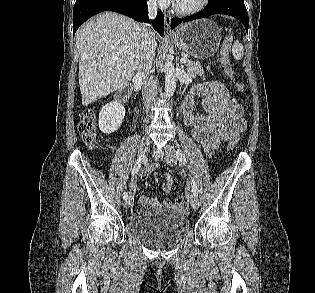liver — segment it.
<instances>
[{
	"instance_id": "obj_1",
	"label": "liver",
	"mask_w": 315,
	"mask_h": 293,
	"mask_svg": "<svg viewBox=\"0 0 315 293\" xmlns=\"http://www.w3.org/2000/svg\"><path fill=\"white\" fill-rule=\"evenodd\" d=\"M76 45L82 105L87 106L129 84L142 57L143 27L105 12L78 30Z\"/></svg>"
}]
</instances>
